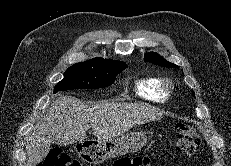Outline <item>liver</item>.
Returning <instances> with one entry per match:
<instances>
[{
  "label": "liver",
  "mask_w": 231,
  "mask_h": 166,
  "mask_svg": "<svg viewBox=\"0 0 231 166\" xmlns=\"http://www.w3.org/2000/svg\"><path fill=\"white\" fill-rule=\"evenodd\" d=\"M162 116V111L149 104L89 103L61 96L52 103L43 122L27 137V166H36L43 161L52 142L68 145L86 139V131L90 127L97 139L110 140Z\"/></svg>",
  "instance_id": "liver-1"
}]
</instances>
